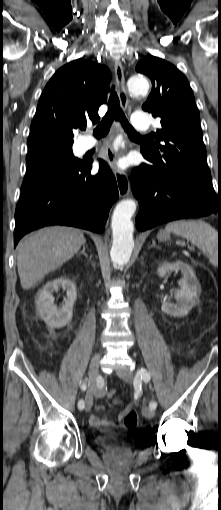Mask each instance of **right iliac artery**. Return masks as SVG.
Here are the masks:
<instances>
[{
  "mask_svg": "<svg viewBox=\"0 0 221 510\" xmlns=\"http://www.w3.org/2000/svg\"><path fill=\"white\" fill-rule=\"evenodd\" d=\"M86 388H87V383H86V381H83V382L81 383V389L84 391V390H86ZM84 407H85V403H84V401H83V400H80V401L78 402V408H79V410L84 409Z\"/></svg>",
  "mask_w": 221,
  "mask_h": 510,
  "instance_id": "1",
  "label": "right iliac artery"
}]
</instances>
